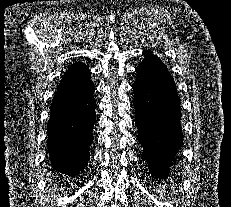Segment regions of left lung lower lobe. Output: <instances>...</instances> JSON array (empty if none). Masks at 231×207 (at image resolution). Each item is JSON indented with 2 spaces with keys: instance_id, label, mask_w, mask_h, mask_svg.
<instances>
[{
  "instance_id": "obj_1",
  "label": "left lung lower lobe",
  "mask_w": 231,
  "mask_h": 207,
  "mask_svg": "<svg viewBox=\"0 0 231 207\" xmlns=\"http://www.w3.org/2000/svg\"><path fill=\"white\" fill-rule=\"evenodd\" d=\"M143 53L133 85L138 142L152 179L167 178L183 140L180 98L164 63L149 51Z\"/></svg>"
}]
</instances>
